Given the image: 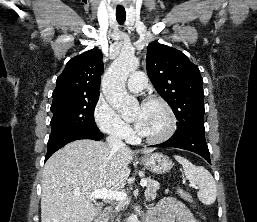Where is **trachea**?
<instances>
[{
  "instance_id": "3493384b",
  "label": "trachea",
  "mask_w": 257,
  "mask_h": 222,
  "mask_svg": "<svg viewBox=\"0 0 257 222\" xmlns=\"http://www.w3.org/2000/svg\"><path fill=\"white\" fill-rule=\"evenodd\" d=\"M116 19L122 25L126 20V12L124 10H116Z\"/></svg>"
}]
</instances>
